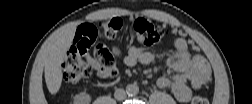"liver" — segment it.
Returning a JSON list of instances; mask_svg holds the SVG:
<instances>
[{"label":"liver","instance_id":"liver-1","mask_svg":"<svg viewBox=\"0 0 252 104\" xmlns=\"http://www.w3.org/2000/svg\"><path fill=\"white\" fill-rule=\"evenodd\" d=\"M76 26H68L60 30L50 43L46 58L44 75L47 88L51 94H56L62 83V63L66 52L72 44Z\"/></svg>","mask_w":252,"mask_h":104}]
</instances>
